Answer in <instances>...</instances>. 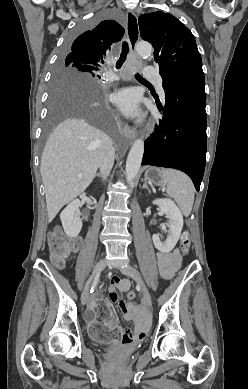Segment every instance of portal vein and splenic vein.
<instances>
[{"label":"portal vein and splenic vein","instance_id":"18ae733b","mask_svg":"<svg viewBox=\"0 0 248 389\" xmlns=\"http://www.w3.org/2000/svg\"><path fill=\"white\" fill-rule=\"evenodd\" d=\"M77 176H78V177H82L83 175H82L81 173H79Z\"/></svg>","mask_w":248,"mask_h":389}]
</instances>
